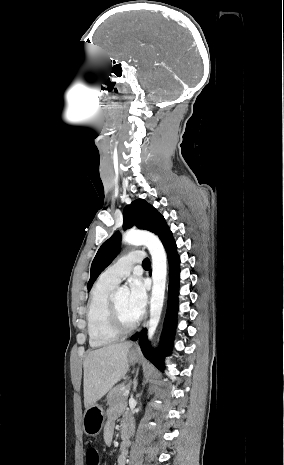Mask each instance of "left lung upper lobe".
Wrapping results in <instances>:
<instances>
[{
    "instance_id": "left-lung-upper-lobe-1",
    "label": "left lung upper lobe",
    "mask_w": 284,
    "mask_h": 465,
    "mask_svg": "<svg viewBox=\"0 0 284 465\" xmlns=\"http://www.w3.org/2000/svg\"><path fill=\"white\" fill-rule=\"evenodd\" d=\"M136 225L139 229L151 231L163 241L171 234L164 217L143 199L133 201L123 211V229ZM120 232L117 231L99 248L91 265V275L87 288L90 289L99 274L112 262L119 253Z\"/></svg>"
}]
</instances>
